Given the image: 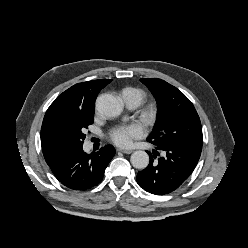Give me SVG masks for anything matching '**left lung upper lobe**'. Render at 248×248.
Here are the masks:
<instances>
[{"mask_svg":"<svg viewBox=\"0 0 248 248\" xmlns=\"http://www.w3.org/2000/svg\"><path fill=\"white\" fill-rule=\"evenodd\" d=\"M157 101V117L148 141L202 149L200 118L192 102L176 87L158 78H143Z\"/></svg>","mask_w":248,"mask_h":248,"instance_id":"left-lung-upper-lobe-1","label":"left lung upper lobe"}]
</instances>
